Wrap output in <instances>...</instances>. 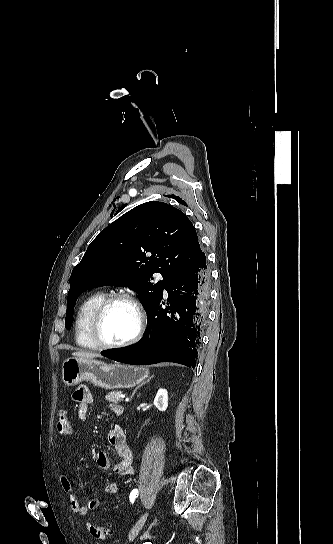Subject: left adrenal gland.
I'll list each match as a JSON object with an SVG mask.
<instances>
[{"mask_svg": "<svg viewBox=\"0 0 333 544\" xmlns=\"http://www.w3.org/2000/svg\"><path fill=\"white\" fill-rule=\"evenodd\" d=\"M148 380H149V379H148ZM141 385H142V384H141ZM141 385H139L138 387L135 388V390H134L133 393H132L131 398L134 396V394L136 393L137 389H138Z\"/></svg>", "mask_w": 333, "mask_h": 544, "instance_id": "a2214340", "label": "left adrenal gland"}]
</instances>
